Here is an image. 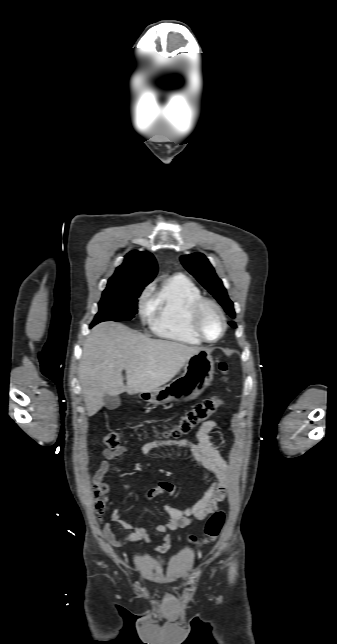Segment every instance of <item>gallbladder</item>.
<instances>
[{
	"label": "gallbladder",
	"mask_w": 337,
	"mask_h": 644,
	"mask_svg": "<svg viewBox=\"0 0 337 644\" xmlns=\"http://www.w3.org/2000/svg\"><path fill=\"white\" fill-rule=\"evenodd\" d=\"M104 405L108 410H115L120 406V398L118 396H111L105 394L103 396Z\"/></svg>",
	"instance_id": "bac80fb5"
}]
</instances>
